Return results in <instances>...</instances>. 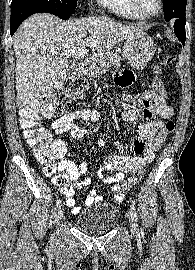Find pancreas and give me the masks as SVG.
<instances>
[{
    "instance_id": "pancreas-1",
    "label": "pancreas",
    "mask_w": 195,
    "mask_h": 270,
    "mask_svg": "<svg viewBox=\"0 0 195 270\" xmlns=\"http://www.w3.org/2000/svg\"><path fill=\"white\" fill-rule=\"evenodd\" d=\"M86 65V74L98 77L111 67H120L121 58L117 53L102 52L90 58Z\"/></svg>"
}]
</instances>
